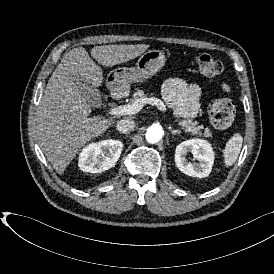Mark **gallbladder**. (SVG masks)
<instances>
[{
	"instance_id": "gallbladder-1",
	"label": "gallbladder",
	"mask_w": 274,
	"mask_h": 274,
	"mask_svg": "<svg viewBox=\"0 0 274 274\" xmlns=\"http://www.w3.org/2000/svg\"><path fill=\"white\" fill-rule=\"evenodd\" d=\"M68 81L79 90L88 104L98 106L103 103L105 99L103 90L96 86L82 71H72L68 76Z\"/></svg>"
}]
</instances>
